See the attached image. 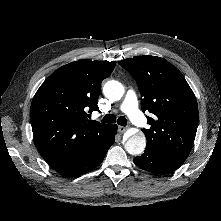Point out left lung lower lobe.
<instances>
[{"mask_svg": "<svg viewBox=\"0 0 221 221\" xmlns=\"http://www.w3.org/2000/svg\"><path fill=\"white\" fill-rule=\"evenodd\" d=\"M133 161L138 167L148 172L165 174L178 169L185 159L145 149V152Z\"/></svg>", "mask_w": 221, "mask_h": 221, "instance_id": "1", "label": "left lung lower lobe"}]
</instances>
